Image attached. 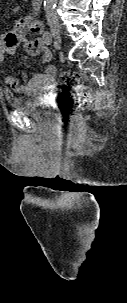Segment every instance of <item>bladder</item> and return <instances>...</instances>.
Listing matches in <instances>:
<instances>
[{
    "mask_svg": "<svg viewBox=\"0 0 127 303\" xmlns=\"http://www.w3.org/2000/svg\"><path fill=\"white\" fill-rule=\"evenodd\" d=\"M6 101L10 108L24 112L32 118L43 119L48 115L46 104L35 94L7 95Z\"/></svg>",
    "mask_w": 127,
    "mask_h": 303,
    "instance_id": "bladder-1",
    "label": "bladder"
}]
</instances>
